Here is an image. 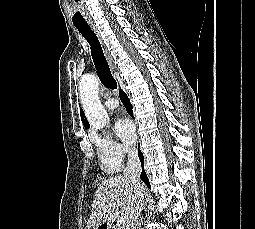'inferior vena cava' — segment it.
<instances>
[{"label":"inferior vena cava","mask_w":255,"mask_h":229,"mask_svg":"<svg viewBox=\"0 0 255 229\" xmlns=\"http://www.w3.org/2000/svg\"><path fill=\"white\" fill-rule=\"evenodd\" d=\"M126 152L128 154V161L123 171V176L132 183L134 188V195L130 205L129 215L126 221V229H136V226L138 224V217L143 209L145 195L139 179L142 167L136 148L128 147L126 148Z\"/></svg>","instance_id":"1"}]
</instances>
